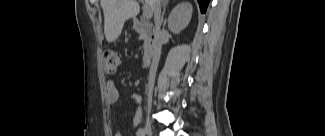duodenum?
Instances as JSON below:
<instances>
[{
  "label": "duodenum",
  "mask_w": 325,
  "mask_h": 136,
  "mask_svg": "<svg viewBox=\"0 0 325 136\" xmlns=\"http://www.w3.org/2000/svg\"><path fill=\"white\" fill-rule=\"evenodd\" d=\"M134 27L144 37V57L142 66L147 67L149 59L152 56L156 46L157 30L151 23L144 20L135 21Z\"/></svg>",
  "instance_id": "duodenum-1"
}]
</instances>
